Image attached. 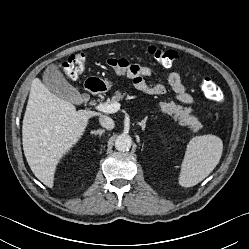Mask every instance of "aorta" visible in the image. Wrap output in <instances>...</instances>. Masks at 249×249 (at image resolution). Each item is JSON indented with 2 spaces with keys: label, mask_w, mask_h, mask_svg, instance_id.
Wrapping results in <instances>:
<instances>
[{
  "label": "aorta",
  "mask_w": 249,
  "mask_h": 249,
  "mask_svg": "<svg viewBox=\"0 0 249 249\" xmlns=\"http://www.w3.org/2000/svg\"><path fill=\"white\" fill-rule=\"evenodd\" d=\"M131 145L132 139L128 134H121L115 140V148L118 151H128Z\"/></svg>",
  "instance_id": "obj_1"
}]
</instances>
